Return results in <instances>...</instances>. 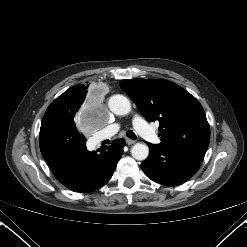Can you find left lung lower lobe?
<instances>
[{
    "mask_svg": "<svg viewBox=\"0 0 247 247\" xmlns=\"http://www.w3.org/2000/svg\"><path fill=\"white\" fill-rule=\"evenodd\" d=\"M148 145L150 154L141 168L148 178L166 186H176L190 179L200 167L208 147V143L197 141Z\"/></svg>",
    "mask_w": 247,
    "mask_h": 247,
    "instance_id": "1",
    "label": "left lung lower lobe"
}]
</instances>
